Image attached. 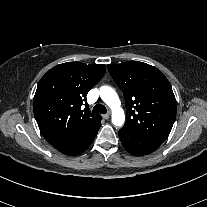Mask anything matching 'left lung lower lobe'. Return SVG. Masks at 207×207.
Segmentation results:
<instances>
[{
    "mask_svg": "<svg viewBox=\"0 0 207 207\" xmlns=\"http://www.w3.org/2000/svg\"><path fill=\"white\" fill-rule=\"evenodd\" d=\"M118 134L123 147L135 156L147 155L163 143V141L140 136L124 129H120Z\"/></svg>",
    "mask_w": 207,
    "mask_h": 207,
    "instance_id": "0a47b994",
    "label": "left lung lower lobe"
}]
</instances>
